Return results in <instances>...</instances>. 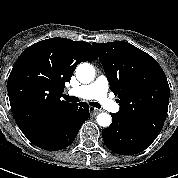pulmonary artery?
Returning a JSON list of instances; mask_svg holds the SVG:
<instances>
[{"label": "pulmonary artery", "instance_id": "1", "mask_svg": "<svg viewBox=\"0 0 178 178\" xmlns=\"http://www.w3.org/2000/svg\"><path fill=\"white\" fill-rule=\"evenodd\" d=\"M109 82L104 75H100L94 82L71 88L68 94L83 99H96L109 111L116 112L119 106L108 97Z\"/></svg>", "mask_w": 178, "mask_h": 178}]
</instances>
